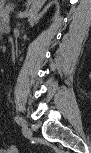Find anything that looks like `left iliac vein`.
I'll use <instances>...</instances> for the list:
<instances>
[{"label":"left iliac vein","instance_id":"1","mask_svg":"<svg viewBox=\"0 0 91 153\" xmlns=\"http://www.w3.org/2000/svg\"><path fill=\"white\" fill-rule=\"evenodd\" d=\"M23 124H26L25 121ZM23 124H22V133L23 135L27 138V139H31L33 134L31 132V130L28 128V126L26 127H23ZM27 125V124H26Z\"/></svg>","mask_w":91,"mask_h":153}]
</instances>
